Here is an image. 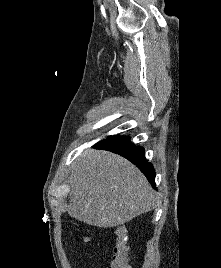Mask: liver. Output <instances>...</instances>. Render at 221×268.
<instances>
[{
	"mask_svg": "<svg viewBox=\"0 0 221 268\" xmlns=\"http://www.w3.org/2000/svg\"><path fill=\"white\" fill-rule=\"evenodd\" d=\"M69 182L68 214L88 225L116 227L156 206L146 177L127 159L108 151L83 152Z\"/></svg>",
	"mask_w": 221,
	"mask_h": 268,
	"instance_id": "1",
	"label": "liver"
}]
</instances>
